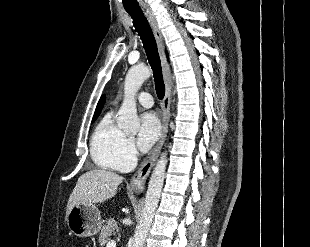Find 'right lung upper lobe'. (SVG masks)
Here are the masks:
<instances>
[{"mask_svg":"<svg viewBox=\"0 0 310 247\" xmlns=\"http://www.w3.org/2000/svg\"><path fill=\"white\" fill-rule=\"evenodd\" d=\"M105 103V95L101 96L98 104H97V107H96V110H95V114H94V117L95 116H98L103 108V105Z\"/></svg>","mask_w":310,"mask_h":247,"instance_id":"right-lung-upper-lobe-1","label":"right lung upper lobe"}]
</instances>
